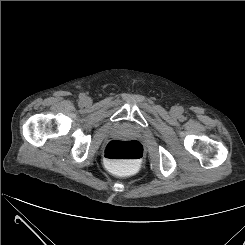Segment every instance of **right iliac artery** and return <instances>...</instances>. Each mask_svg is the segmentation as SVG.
<instances>
[{
	"label": "right iliac artery",
	"mask_w": 245,
	"mask_h": 245,
	"mask_svg": "<svg viewBox=\"0 0 245 245\" xmlns=\"http://www.w3.org/2000/svg\"><path fill=\"white\" fill-rule=\"evenodd\" d=\"M83 98H84V95H81V96H80V100H83Z\"/></svg>",
	"instance_id": "1"
}]
</instances>
